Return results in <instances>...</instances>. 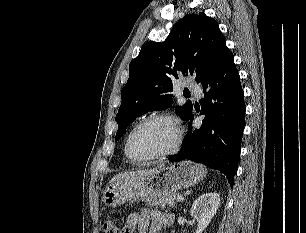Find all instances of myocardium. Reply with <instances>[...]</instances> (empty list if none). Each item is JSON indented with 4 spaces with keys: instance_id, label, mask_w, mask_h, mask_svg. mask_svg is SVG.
<instances>
[{
    "instance_id": "obj_1",
    "label": "myocardium",
    "mask_w": 306,
    "mask_h": 233,
    "mask_svg": "<svg viewBox=\"0 0 306 233\" xmlns=\"http://www.w3.org/2000/svg\"><path fill=\"white\" fill-rule=\"evenodd\" d=\"M159 119L167 120L174 125L175 130H176V140H175V143H174L173 147L171 149L165 151V152L149 155V156H146V157L135 156L132 152V149H131V140H132L134 134L144 124H146L150 121L159 120ZM182 140H183L182 127H181L180 122H179V120L176 116H174L173 114H170V113H166V112L154 113V114H151V115L143 118L141 121H139L132 128V130L130 131V133L128 134L127 139H126L125 153L128 156V158L130 160H132L133 162H148V161H152V160H156V159H162V158H166V157H169V156H172V155L176 154L181 147Z\"/></svg>"
}]
</instances>
